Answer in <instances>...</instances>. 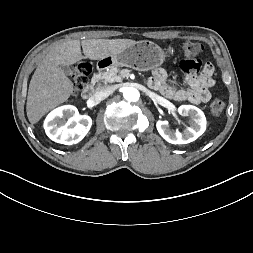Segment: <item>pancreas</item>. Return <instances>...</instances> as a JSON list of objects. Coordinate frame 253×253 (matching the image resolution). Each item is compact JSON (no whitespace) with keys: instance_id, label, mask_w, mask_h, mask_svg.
I'll use <instances>...</instances> for the list:
<instances>
[{"instance_id":"1","label":"pancreas","mask_w":253,"mask_h":253,"mask_svg":"<svg viewBox=\"0 0 253 253\" xmlns=\"http://www.w3.org/2000/svg\"><path fill=\"white\" fill-rule=\"evenodd\" d=\"M119 71L117 67L112 66L108 71L100 73L98 79L104 83L120 82L122 78L118 75Z\"/></svg>"}]
</instances>
